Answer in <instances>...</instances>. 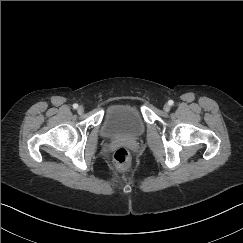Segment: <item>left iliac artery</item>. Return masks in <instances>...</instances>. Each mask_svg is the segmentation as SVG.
<instances>
[{
  "mask_svg": "<svg viewBox=\"0 0 243 243\" xmlns=\"http://www.w3.org/2000/svg\"><path fill=\"white\" fill-rule=\"evenodd\" d=\"M168 104H169L170 106H172V105L174 104L173 100H169V101H168Z\"/></svg>",
  "mask_w": 243,
  "mask_h": 243,
  "instance_id": "44dca946",
  "label": "left iliac artery"
}]
</instances>
